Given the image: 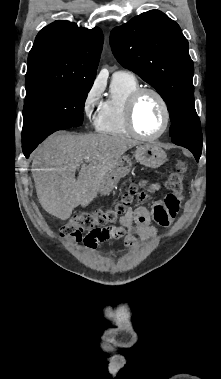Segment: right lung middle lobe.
<instances>
[{"mask_svg":"<svg viewBox=\"0 0 221 379\" xmlns=\"http://www.w3.org/2000/svg\"><path fill=\"white\" fill-rule=\"evenodd\" d=\"M92 85V81H80L26 93L22 140L38 141L57 130L82 125Z\"/></svg>","mask_w":221,"mask_h":379,"instance_id":"dd1d6c3e","label":"right lung middle lobe"}]
</instances>
